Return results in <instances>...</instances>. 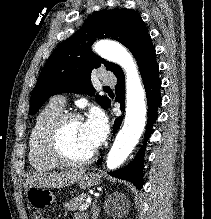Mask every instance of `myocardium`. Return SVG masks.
Segmentation results:
<instances>
[{"mask_svg":"<svg viewBox=\"0 0 211 219\" xmlns=\"http://www.w3.org/2000/svg\"><path fill=\"white\" fill-rule=\"evenodd\" d=\"M82 120L79 113L63 111L57 115L45 128L42 144L47 155L59 164L66 166H86L90 164L97 156L94 150L90 155L83 159L71 157L63 148L62 136L68 123Z\"/></svg>","mask_w":211,"mask_h":219,"instance_id":"obj_1","label":"myocardium"}]
</instances>
